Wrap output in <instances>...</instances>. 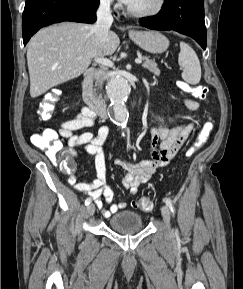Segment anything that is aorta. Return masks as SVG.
<instances>
[{"label":"aorta","mask_w":243,"mask_h":289,"mask_svg":"<svg viewBox=\"0 0 243 289\" xmlns=\"http://www.w3.org/2000/svg\"><path fill=\"white\" fill-rule=\"evenodd\" d=\"M106 90L111 101L114 119L117 124L124 129L129 118L126 101L130 93V86L123 77H114L108 82Z\"/></svg>","instance_id":"762f6f07"}]
</instances>
